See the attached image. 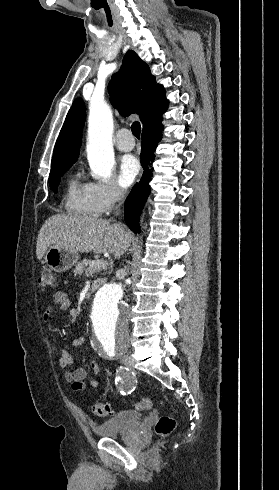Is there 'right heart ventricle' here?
Here are the masks:
<instances>
[{"instance_id": "e07e8e85", "label": "right heart ventricle", "mask_w": 279, "mask_h": 490, "mask_svg": "<svg viewBox=\"0 0 279 490\" xmlns=\"http://www.w3.org/2000/svg\"><path fill=\"white\" fill-rule=\"evenodd\" d=\"M67 209L70 213L84 217H92L94 213L89 205L86 187L71 181L68 187Z\"/></svg>"}]
</instances>
